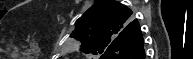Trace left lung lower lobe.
Segmentation results:
<instances>
[{
	"label": "left lung lower lobe",
	"mask_w": 193,
	"mask_h": 59,
	"mask_svg": "<svg viewBox=\"0 0 193 59\" xmlns=\"http://www.w3.org/2000/svg\"><path fill=\"white\" fill-rule=\"evenodd\" d=\"M143 37L137 20L132 21L120 39L100 59H145Z\"/></svg>",
	"instance_id": "left-lung-lower-lobe-1"
}]
</instances>
